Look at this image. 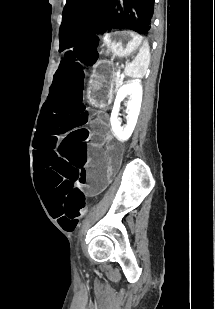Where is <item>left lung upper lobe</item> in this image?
I'll list each match as a JSON object with an SVG mask.
<instances>
[{
  "label": "left lung upper lobe",
  "mask_w": 215,
  "mask_h": 309,
  "mask_svg": "<svg viewBox=\"0 0 215 309\" xmlns=\"http://www.w3.org/2000/svg\"><path fill=\"white\" fill-rule=\"evenodd\" d=\"M153 12L154 0H67L59 51L110 29L127 28L147 35Z\"/></svg>",
  "instance_id": "left-lung-upper-lobe-1"
}]
</instances>
